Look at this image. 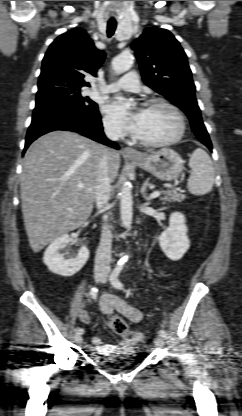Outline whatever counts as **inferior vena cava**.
Masks as SVG:
<instances>
[{
    "mask_svg": "<svg viewBox=\"0 0 242 416\" xmlns=\"http://www.w3.org/2000/svg\"><path fill=\"white\" fill-rule=\"evenodd\" d=\"M104 132L106 136L112 140L117 141L120 132L110 122L104 121ZM111 150L105 148L98 163L97 181L95 186V202L97 209H104L108 204L111 193V179L109 176V158ZM104 225L100 243L95 257V271H110L111 262V248H112V233L107 224V217H103Z\"/></svg>",
    "mask_w": 242,
    "mask_h": 416,
    "instance_id": "602c4592",
    "label": "inferior vena cava"
}]
</instances>
